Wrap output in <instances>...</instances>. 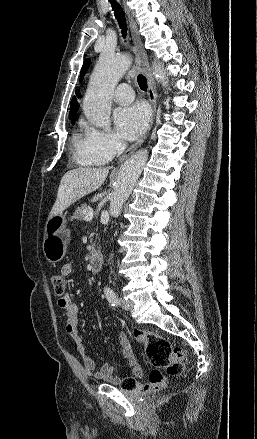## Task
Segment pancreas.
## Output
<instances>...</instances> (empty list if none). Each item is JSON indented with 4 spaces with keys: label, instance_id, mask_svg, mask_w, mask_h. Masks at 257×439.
<instances>
[{
    "label": "pancreas",
    "instance_id": "cf45deb5",
    "mask_svg": "<svg viewBox=\"0 0 257 439\" xmlns=\"http://www.w3.org/2000/svg\"><path fill=\"white\" fill-rule=\"evenodd\" d=\"M87 212H88V205L87 204H82L80 207H78L76 210H75V212H74V214H73V216H72V220H84V218H85V215L87 214Z\"/></svg>",
    "mask_w": 257,
    "mask_h": 439
}]
</instances>
